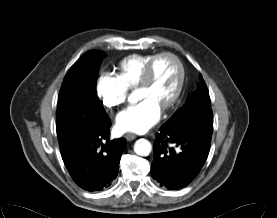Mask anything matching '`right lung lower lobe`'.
Returning a JSON list of instances; mask_svg holds the SVG:
<instances>
[{"instance_id": "98d812e1", "label": "right lung lower lobe", "mask_w": 277, "mask_h": 218, "mask_svg": "<svg viewBox=\"0 0 277 218\" xmlns=\"http://www.w3.org/2000/svg\"><path fill=\"white\" fill-rule=\"evenodd\" d=\"M108 118L93 133L61 152L74 182L87 191L109 187L118 174L121 155L126 147L123 138L109 140Z\"/></svg>"}]
</instances>
